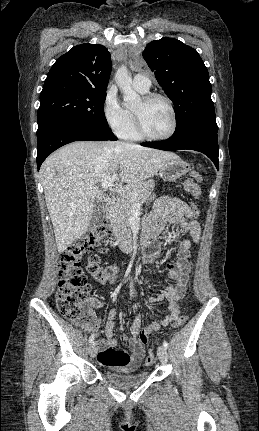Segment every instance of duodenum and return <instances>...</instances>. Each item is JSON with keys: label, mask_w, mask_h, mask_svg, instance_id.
Wrapping results in <instances>:
<instances>
[{"label": "duodenum", "mask_w": 259, "mask_h": 431, "mask_svg": "<svg viewBox=\"0 0 259 431\" xmlns=\"http://www.w3.org/2000/svg\"><path fill=\"white\" fill-rule=\"evenodd\" d=\"M115 203L116 201L114 199H111L106 205V214L109 219L113 214ZM114 240L115 243L119 244L120 248L125 252H131L134 249V242L132 240V237L128 233H116L114 236Z\"/></svg>", "instance_id": "1"}]
</instances>
